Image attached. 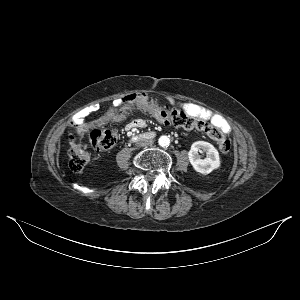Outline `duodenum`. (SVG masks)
I'll use <instances>...</instances> for the list:
<instances>
[{
    "label": "duodenum",
    "mask_w": 300,
    "mask_h": 300,
    "mask_svg": "<svg viewBox=\"0 0 300 300\" xmlns=\"http://www.w3.org/2000/svg\"><path fill=\"white\" fill-rule=\"evenodd\" d=\"M153 137L152 133H144L138 136L139 139L150 140Z\"/></svg>",
    "instance_id": "duodenum-1"
}]
</instances>
